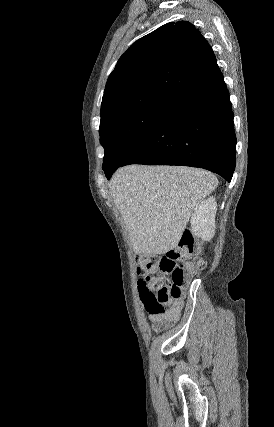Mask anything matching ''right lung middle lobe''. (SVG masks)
<instances>
[{
  "mask_svg": "<svg viewBox=\"0 0 274 427\" xmlns=\"http://www.w3.org/2000/svg\"><path fill=\"white\" fill-rule=\"evenodd\" d=\"M176 98L151 94L118 103L101 113L100 142L103 168L121 163L156 127Z\"/></svg>",
  "mask_w": 274,
  "mask_h": 427,
  "instance_id": "obj_1",
  "label": "right lung middle lobe"
}]
</instances>
